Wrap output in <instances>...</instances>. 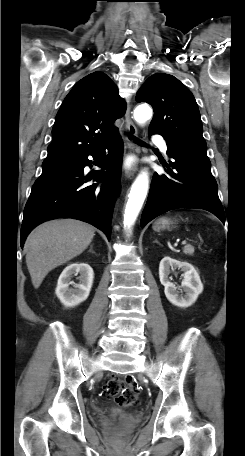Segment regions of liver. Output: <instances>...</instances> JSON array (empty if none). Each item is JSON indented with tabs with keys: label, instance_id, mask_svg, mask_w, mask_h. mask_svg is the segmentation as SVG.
Instances as JSON below:
<instances>
[{
	"label": "liver",
	"instance_id": "1",
	"mask_svg": "<svg viewBox=\"0 0 245 456\" xmlns=\"http://www.w3.org/2000/svg\"><path fill=\"white\" fill-rule=\"evenodd\" d=\"M95 229L82 221L58 219L36 227L25 243L26 264L35 289L54 268L80 255L91 243Z\"/></svg>",
	"mask_w": 245,
	"mask_h": 456
}]
</instances>
